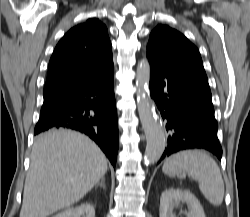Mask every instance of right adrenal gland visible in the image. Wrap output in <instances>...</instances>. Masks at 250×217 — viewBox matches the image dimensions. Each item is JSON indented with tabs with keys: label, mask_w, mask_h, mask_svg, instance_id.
<instances>
[{
	"label": "right adrenal gland",
	"mask_w": 250,
	"mask_h": 217,
	"mask_svg": "<svg viewBox=\"0 0 250 217\" xmlns=\"http://www.w3.org/2000/svg\"><path fill=\"white\" fill-rule=\"evenodd\" d=\"M97 186H101L103 189H106L105 179L102 178L101 181L97 184Z\"/></svg>",
	"instance_id": "2a0ac1e0"
}]
</instances>
